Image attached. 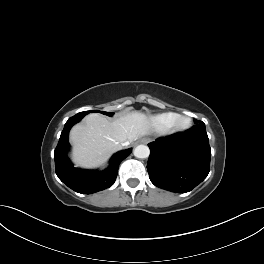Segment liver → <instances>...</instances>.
I'll return each instance as SVG.
<instances>
[{"label": "liver", "instance_id": "6515ba94", "mask_svg": "<svg viewBox=\"0 0 264 264\" xmlns=\"http://www.w3.org/2000/svg\"><path fill=\"white\" fill-rule=\"evenodd\" d=\"M149 133V123L142 112L134 111L113 121L98 113L89 114L70 131L72 160L84 168L98 167L122 148V142H133Z\"/></svg>", "mask_w": 264, "mask_h": 264}]
</instances>
